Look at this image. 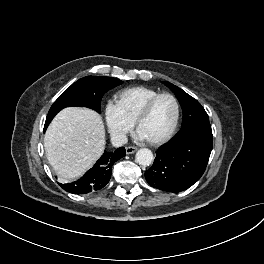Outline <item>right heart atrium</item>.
<instances>
[{"label":"right heart atrium","mask_w":264,"mask_h":264,"mask_svg":"<svg viewBox=\"0 0 264 264\" xmlns=\"http://www.w3.org/2000/svg\"><path fill=\"white\" fill-rule=\"evenodd\" d=\"M104 118L111 137L117 142H122L133 128V122L121 113L115 103L106 104Z\"/></svg>","instance_id":"1"}]
</instances>
